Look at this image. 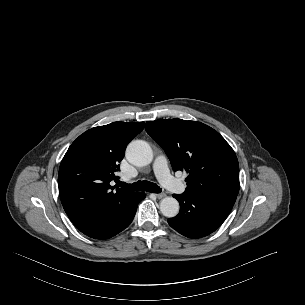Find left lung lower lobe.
I'll return each mask as SVG.
<instances>
[{"instance_id":"1","label":"left lung lower lobe","mask_w":305,"mask_h":305,"mask_svg":"<svg viewBox=\"0 0 305 305\" xmlns=\"http://www.w3.org/2000/svg\"><path fill=\"white\" fill-rule=\"evenodd\" d=\"M180 212L169 218V225L189 238H201L214 232L230 213L236 195L232 194H174Z\"/></svg>"}]
</instances>
